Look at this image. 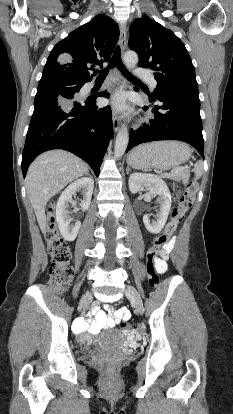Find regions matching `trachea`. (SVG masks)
I'll return each instance as SVG.
<instances>
[{
	"label": "trachea",
	"mask_w": 233,
	"mask_h": 414,
	"mask_svg": "<svg viewBox=\"0 0 233 414\" xmlns=\"http://www.w3.org/2000/svg\"><path fill=\"white\" fill-rule=\"evenodd\" d=\"M117 67L121 73L130 81L133 82H139L141 83V81L139 79H137L136 77H134L130 72H128V70L125 68V66L122 63L121 60V56H120V47L117 46V48L115 49V52L113 54V57L108 65L107 68L100 70L99 71V75L97 76V79H105L106 76L108 75V70L114 67Z\"/></svg>",
	"instance_id": "trachea-1"
}]
</instances>
